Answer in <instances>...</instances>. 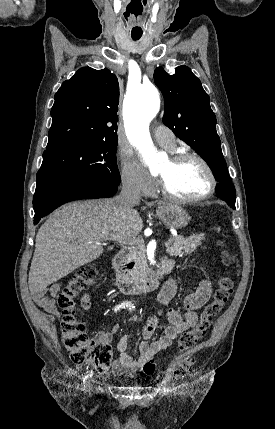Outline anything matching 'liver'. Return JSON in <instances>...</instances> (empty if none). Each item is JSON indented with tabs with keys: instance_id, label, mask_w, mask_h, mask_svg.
<instances>
[{
	"instance_id": "1",
	"label": "liver",
	"mask_w": 275,
	"mask_h": 429,
	"mask_svg": "<svg viewBox=\"0 0 275 429\" xmlns=\"http://www.w3.org/2000/svg\"><path fill=\"white\" fill-rule=\"evenodd\" d=\"M142 227L137 210L121 208L117 197L59 208L37 232L28 279L30 291H47L50 284L98 258L104 242L114 235L135 237Z\"/></svg>"
}]
</instances>
